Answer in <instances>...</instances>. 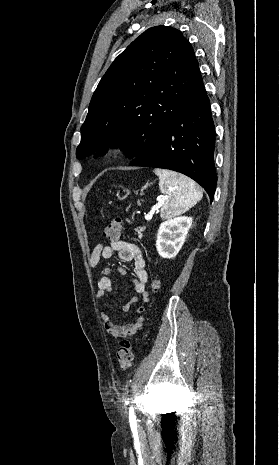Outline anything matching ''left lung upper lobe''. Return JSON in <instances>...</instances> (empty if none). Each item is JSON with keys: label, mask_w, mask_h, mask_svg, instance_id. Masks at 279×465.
Segmentation results:
<instances>
[{"label": "left lung upper lobe", "mask_w": 279, "mask_h": 465, "mask_svg": "<svg viewBox=\"0 0 279 465\" xmlns=\"http://www.w3.org/2000/svg\"><path fill=\"white\" fill-rule=\"evenodd\" d=\"M198 71L193 48L179 30H146L99 82L81 127L77 158L110 146H119L131 161L142 155L182 109Z\"/></svg>", "instance_id": "left-lung-upper-lobe-1"}]
</instances>
